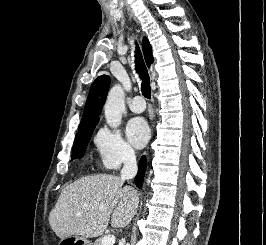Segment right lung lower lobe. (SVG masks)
I'll use <instances>...</instances> for the list:
<instances>
[{"mask_svg": "<svg viewBox=\"0 0 266 245\" xmlns=\"http://www.w3.org/2000/svg\"><path fill=\"white\" fill-rule=\"evenodd\" d=\"M146 170V159L145 157H142L139 163V171L135 178V184L137 187L141 188L144 180V173Z\"/></svg>", "mask_w": 266, "mask_h": 245, "instance_id": "obj_1", "label": "right lung lower lobe"}]
</instances>
